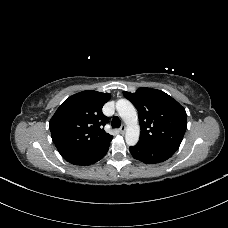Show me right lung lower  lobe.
<instances>
[{
	"label": "right lung lower lobe",
	"mask_w": 228,
	"mask_h": 228,
	"mask_svg": "<svg viewBox=\"0 0 228 228\" xmlns=\"http://www.w3.org/2000/svg\"><path fill=\"white\" fill-rule=\"evenodd\" d=\"M110 142L85 153L65 157L64 159L73 165H90L102 159L109 149Z\"/></svg>",
	"instance_id": "right-lung-lower-lobe-1"
}]
</instances>
